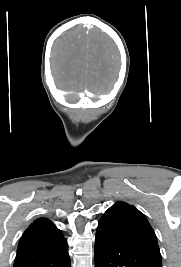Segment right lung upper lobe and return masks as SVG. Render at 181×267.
I'll return each instance as SVG.
<instances>
[{
    "label": "right lung upper lobe",
    "mask_w": 181,
    "mask_h": 267,
    "mask_svg": "<svg viewBox=\"0 0 181 267\" xmlns=\"http://www.w3.org/2000/svg\"><path fill=\"white\" fill-rule=\"evenodd\" d=\"M67 248V242L61 231L45 218L35 220L23 233L17 254L49 253Z\"/></svg>",
    "instance_id": "1"
}]
</instances>
